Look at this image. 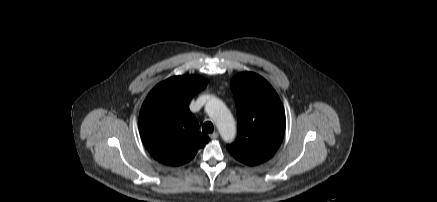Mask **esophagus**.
I'll use <instances>...</instances> for the list:
<instances>
[{
	"label": "esophagus",
	"instance_id": "esophagus-1",
	"mask_svg": "<svg viewBox=\"0 0 437 202\" xmlns=\"http://www.w3.org/2000/svg\"><path fill=\"white\" fill-rule=\"evenodd\" d=\"M209 136H210L211 139L214 140V139H217V138H218L219 134H218L217 132H213V133H211Z\"/></svg>",
	"mask_w": 437,
	"mask_h": 202
}]
</instances>
